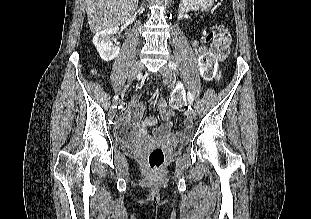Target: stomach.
<instances>
[{
  "label": "stomach",
  "instance_id": "obj_1",
  "mask_svg": "<svg viewBox=\"0 0 311 219\" xmlns=\"http://www.w3.org/2000/svg\"><path fill=\"white\" fill-rule=\"evenodd\" d=\"M199 1L201 2L202 7L204 8H209L213 3V0H199Z\"/></svg>",
  "mask_w": 311,
  "mask_h": 219
}]
</instances>
